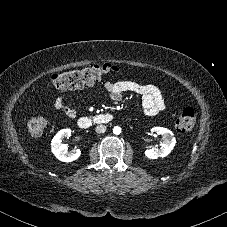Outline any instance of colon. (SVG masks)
I'll return each mask as SVG.
<instances>
[{"instance_id": "5ec220e1", "label": "colon", "mask_w": 227, "mask_h": 227, "mask_svg": "<svg viewBox=\"0 0 227 227\" xmlns=\"http://www.w3.org/2000/svg\"><path fill=\"white\" fill-rule=\"evenodd\" d=\"M117 71V67L110 64L92 65L64 71L53 76V85L61 91L80 90ZM195 122V110L192 107H186L176 120V128L180 132H188L194 127ZM46 124L47 121L42 116H29L24 120V125L31 135H40L44 131Z\"/></svg>"}]
</instances>
